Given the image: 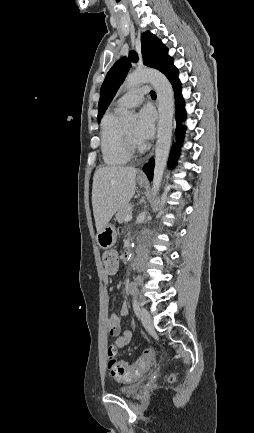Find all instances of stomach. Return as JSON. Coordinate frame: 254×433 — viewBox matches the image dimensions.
<instances>
[{
    "instance_id": "1",
    "label": "stomach",
    "mask_w": 254,
    "mask_h": 433,
    "mask_svg": "<svg viewBox=\"0 0 254 433\" xmlns=\"http://www.w3.org/2000/svg\"><path fill=\"white\" fill-rule=\"evenodd\" d=\"M138 183L141 187L146 185V181L142 179H138ZM116 238V228L112 224H107L96 236L97 243L102 249L111 248L115 244Z\"/></svg>"
}]
</instances>
